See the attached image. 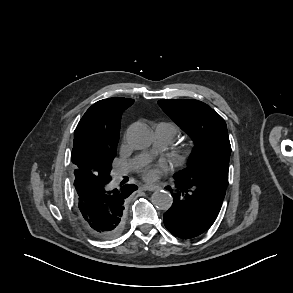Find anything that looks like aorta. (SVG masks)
Returning a JSON list of instances; mask_svg holds the SVG:
<instances>
[{
	"instance_id": "1",
	"label": "aorta",
	"mask_w": 293,
	"mask_h": 293,
	"mask_svg": "<svg viewBox=\"0 0 293 293\" xmlns=\"http://www.w3.org/2000/svg\"><path fill=\"white\" fill-rule=\"evenodd\" d=\"M127 140L134 148H146L152 141L151 130L145 124H134L128 130ZM152 203L161 210H168L173 203V197L167 191H156L152 194Z\"/></svg>"
}]
</instances>
